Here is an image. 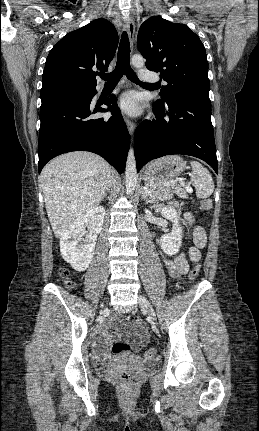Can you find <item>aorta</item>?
Instances as JSON below:
<instances>
[{
    "mask_svg": "<svg viewBox=\"0 0 259 431\" xmlns=\"http://www.w3.org/2000/svg\"><path fill=\"white\" fill-rule=\"evenodd\" d=\"M132 64L136 68H142L144 66V59L141 55H134L132 57ZM137 184V169H136V160L134 155L133 148H130L126 169H125V186L126 192L128 195H132Z\"/></svg>",
    "mask_w": 259,
    "mask_h": 431,
    "instance_id": "obj_1",
    "label": "aorta"
}]
</instances>
